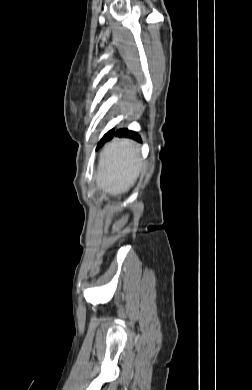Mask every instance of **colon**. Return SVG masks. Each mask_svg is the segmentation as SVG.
I'll use <instances>...</instances> for the list:
<instances>
[{
    "label": "colon",
    "mask_w": 252,
    "mask_h": 390,
    "mask_svg": "<svg viewBox=\"0 0 252 390\" xmlns=\"http://www.w3.org/2000/svg\"><path fill=\"white\" fill-rule=\"evenodd\" d=\"M124 220H121V221H119L118 223H116L114 226H113V231H114V233H118L119 232V230L121 229V227L123 226V224H124Z\"/></svg>",
    "instance_id": "colon-1"
}]
</instances>
